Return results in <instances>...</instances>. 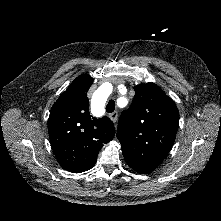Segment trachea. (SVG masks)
<instances>
[{
	"instance_id": "3493384b",
	"label": "trachea",
	"mask_w": 221,
	"mask_h": 221,
	"mask_svg": "<svg viewBox=\"0 0 221 221\" xmlns=\"http://www.w3.org/2000/svg\"><path fill=\"white\" fill-rule=\"evenodd\" d=\"M114 110H115V101L110 100L106 105V112L107 113H112Z\"/></svg>"
}]
</instances>
